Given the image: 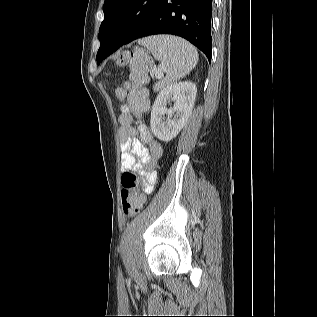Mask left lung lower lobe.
<instances>
[{
    "label": "left lung lower lobe",
    "mask_w": 317,
    "mask_h": 317,
    "mask_svg": "<svg viewBox=\"0 0 317 317\" xmlns=\"http://www.w3.org/2000/svg\"><path fill=\"white\" fill-rule=\"evenodd\" d=\"M211 6L212 0H162L156 12L135 39L155 34L177 35L198 47L210 62L212 57ZM119 47L120 45L116 43L105 41L102 58L105 59Z\"/></svg>",
    "instance_id": "0a47b994"
}]
</instances>
